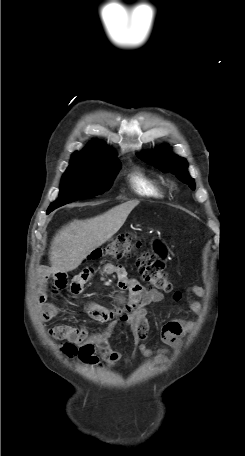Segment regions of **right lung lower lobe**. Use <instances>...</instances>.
<instances>
[{"label": "right lung lower lobe", "instance_id": "right-lung-lower-lobe-1", "mask_svg": "<svg viewBox=\"0 0 245 456\" xmlns=\"http://www.w3.org/2000/svg\"><path fill=\"white\" fill-rule=\"evenodd\" d=\"M52 211H53V209L47 210V213L49 214V213L52 212Z\"/></svg>", "mask_w": 245, "mask_h": 456}]
</instances>
